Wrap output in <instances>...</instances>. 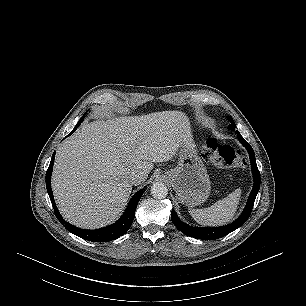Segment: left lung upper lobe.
Listing matches in <instances>:
<instances>
[{"label":"left lung upper lobe","mask_w":306,"mask_h":306,"mask_svg":"<svg viewBox=\"0 0 306 306\" xmlns=\"http://www.w3.org/2000/svg\"><path fill=\"white\" fill-rule=\"evenodd\" d=\"M228 120H229L230 123H231V124L228 126V128H229L230 130L235 131L236 125H235V123H234L232 117L229 116V117H228ZM236 133H237V135H241L238 131H236Z\"/></svg>","instance_id":"5c2ea615"}]
</instances>
